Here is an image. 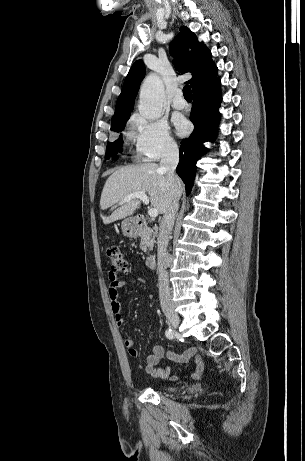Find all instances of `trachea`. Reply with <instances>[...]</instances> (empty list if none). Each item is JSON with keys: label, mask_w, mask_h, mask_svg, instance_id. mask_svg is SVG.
I'll return each mask as SVG.
<instances>
[{"label": "trachea", "mask_w": 305, "mask_h": 461, "mask_svg": "<svg viewBox=\"0 0 305 461\" xmlns=\"http://www.w3.org/2000/svg\"><path fill=\"white\" fill-rule=\"evenodd\" d=\"M183 95L185 99H192V91L189 85L184 86Z\"/></svg>", "instance_id": "1"}]
</instances>
